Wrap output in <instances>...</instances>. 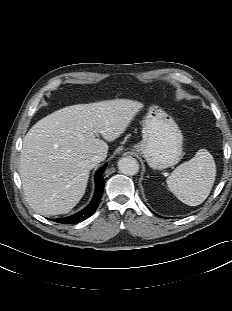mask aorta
<instances>
[{
    "label": "aorta",
    "instance_id": "aorta-1",
    "mask_svg": "<svg viewBox=\"0 0 232 311\" xmlns=\"http://www.w3.org/2000/svg\"><path fill=\"white\" fill-rule=\"evenodd\" d=\"M117 165L119 171L125 175H135L139 171L138 161L131 156L122 157Z\"/></svg>",
    "mask_w": 232,
    "mask_h": 311
}]
</instances>
